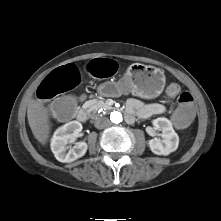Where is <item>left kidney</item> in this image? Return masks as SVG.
Instances as JSON below:
<instances>
[{
	"label": "left kidney",
	"instance_id": "5707ae66",
	"mask_svg": "<svg viewBox=\"0 0 221 221\" xmlns=\"http://www.w3.org/2000/svg\"><path fill=\"white\" fill-rule=\"evenodd\" d=\"M153 126L156 130L162 131L161 137L148 141L150 150L156 155H169L177 150L179 145V137L174 131L171 122L164 117L153 120Z\"/></svg>",
	"mask_w": 221,
	"mask_h": 221
}]
</instances>
